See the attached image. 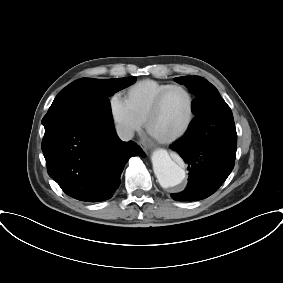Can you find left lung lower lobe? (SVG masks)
Segmentation results:
<instances>
[{
    "label": "left lung lower lobe",
    "mask_w": 283,
    "mask_h": 283,
    "mask_svg": "<svg viewBox=\"0 0 283 283\" xmlns=\"http://www.w3.org/2000/svg\"><path fill=\"white\" fill-rule=\"evenodd\" d=\"M210 110L200 109L191 121L185 135L170 147L187 164L190 174L186 189L172 194L176 201L202 200L212 195L231 173L236 156L237 144L210 140L209 133L214 132L211 123L219 126L225 112L226 103L215 98Z\"/></svg>",
    "instance_id": "left-lung-lower-lobe-1"
}]
</instances>
